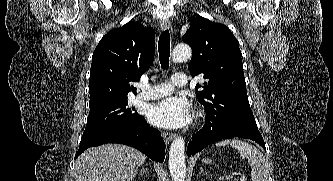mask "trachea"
<instances>
[{"label": "trachea", "instance_id": "1", "mask_svg": "<svg viewBox=\"0 0 333 181\" xmlns=\"http://www.w3.org/2000/svg\"><path fill=\"white\" fill-rule=\"evenodd\" d=\"M159 58L161 67L168 69L170 57V34L168 30L161 33L158 43Z\"/></svg>", "mask_w": 333, "mask_h": 181}]
</instances>
